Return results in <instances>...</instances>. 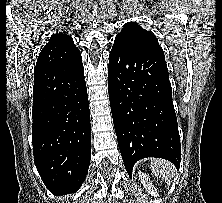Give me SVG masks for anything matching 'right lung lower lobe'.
<instances>
[{"label": "right lung lower lobe", "instance_id": "1", "mask_svg": "<svg viewBox=\"0 0 222 203\" xmlns=\"http://www.w3.org/2000/svg\"><path fill=\"white\" fill-rule=\"evenodd\" d=\"M34 162L53 193L79 188L91 158L89 102L82 60L34 68Z\"/></svg>", "mask_w": 222, "mask_h": 203}]
</instances>
